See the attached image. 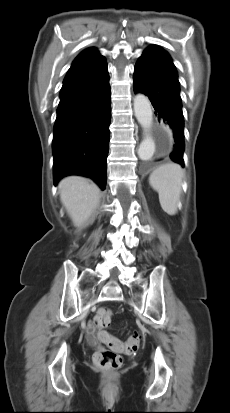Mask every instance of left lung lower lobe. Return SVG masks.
Here are the masks:
<instances>
[{"label":"left lung lower lobe","instance_id":"1","mask_svg":"<svg viewBox=\"0 0 230 413\" xmlns=\"http://www.w3.org/2000/svg\"><path fill=\"white\" fill-rule=\"evenodd\" d=\"M135 92L145 93L158 120L173 130L174 145L170 158L184 167V117L180 84L175 65L169 54L158 46L146 48L138 59L133 75Z\"/></svg>","mask_w":230,"mask_h":413}]
</instances>
